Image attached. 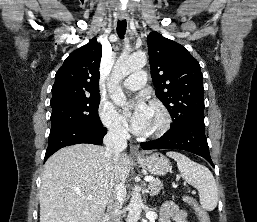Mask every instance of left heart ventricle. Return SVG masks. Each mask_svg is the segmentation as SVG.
Instances as JSON below:
<instances>
[{
	"instance_id": "b2bd125f",
	"label": "left heart ventricle",
	"mask_w": 257,
	"mask_h": 222,
	"mask_svg": "<svg viewBox=\"0 0 257 222\" xmlns=\"http://www.w3.org/2000/svg\"><path fill=\"white\" fill-rule=\"evenodd\" d=\"M151 119H150V124H149V128L148 130H150L151 128H153L156 123H157V120H158V113L155 109L151 108Z\"/></svg>"
}]
</instances>
